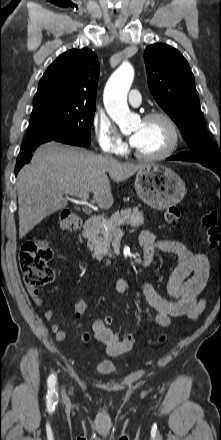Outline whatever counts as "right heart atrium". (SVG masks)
<instances>
[{
    "mask_svg": "<svg viewBox=\"0 0 221 440\" xmlns=\"http://www.w3.org/2000/svg\"><path fill=\"white\" fill-rule=\"evenodd\" d=\"M92 130L100 149L106 154L119 155L124 152L126 144L109 117L97 111L92 119Z\"/></svg>",
    "mask_w": 221,
    "mask_h": 440,
    "instance_id": "right-heart-atrium-1",
    "label": "right heart atrium"
}]
</instances>
